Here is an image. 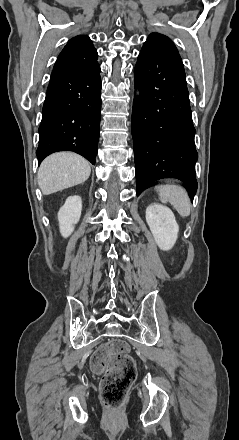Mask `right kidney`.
<instances>
[{
	"mask_svg": "<svg viewBox=\"0 0 239 440\" xmlns=\"http://www.w3.org/2000/svg\"><path fill=\"white\" fill-rule=\"evenodd\" d=\"M82 200L80 196H69L58 212L60 234L68 238L74 232V224H78L81 216Z\"/></svg>",
	"mask_w": 239,
	"mask_h": 440,
	"instance_id": "1",
	"label": "right kidney"
}]
</instances>
